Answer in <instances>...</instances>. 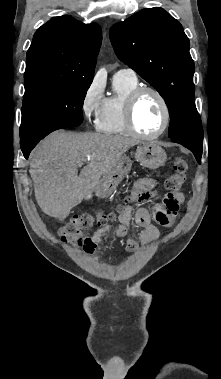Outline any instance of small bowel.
Returning <instances> with one entry per match:
<instances>
[{
    "label": "small bowel",
    "instance_id": "c3829d8e",
    "mask_svg": "<svg viewBox=\"0 0 221 379\" xmlns=\"http://www.w3.org/2000/svg\"><path fill=\"white\" fill-rule=\"evenodd\" d=\"M159 188L160 182L156 179L147 177L138 179L133 185L130 200L132 202L146 201ZM183 202L184 196L179 190H168L163 202L152 209L153 216L145 208H138L133 211L130 205H126L118 217V223L101 225L88 237L84 250L92 254L101 248L102 242L107 236H114L117 238L127 237V250L134 253L140 246H147L159 238L160 232L157 226L153 224L152 217L157 224L168 227L174 222ZM132 223L139 228L138 241L128 236Z\"/></svg>",
    "mask_w": 221,
    "mask_h": 379
}]
</instances>
